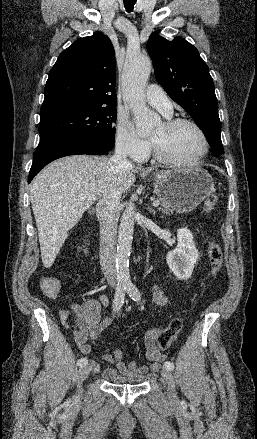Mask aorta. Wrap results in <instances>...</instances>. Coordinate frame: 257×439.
<instances>
[{
  "mask_svg": "<svg viewBox=\"0 0 257 439\" xmlns=\"http://www.w3.org/2000/svg\"><path fill=\"white\" fill-rule=\"evenodd\" d=\"M151 73V61L140 53H128L122 74V89L136 123L138 135L150 134L160 121L159 116L149 110L144 102V91ZM135 205L128 202L121 217L116 251V272L118 281L129 285V257L132 250Z\"/></svg>",
  "mask_w": 257,
  "mask_h": 439,
  "instance_id": "obj_1",
  "label": "aorta"
}]
</instances>
